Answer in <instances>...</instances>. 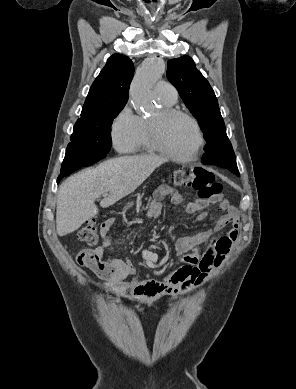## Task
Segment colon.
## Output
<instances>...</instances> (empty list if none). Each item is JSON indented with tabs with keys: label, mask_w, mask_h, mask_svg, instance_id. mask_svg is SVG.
Masks as SVG:
<instances>
[{
	"label": "colon",
	"mask_w": 296,
	"mask_h": 389,
	"mask_svg": "<svg viewBox=\"0 0 296 389\" xmlns=\"http://www.w3.org/2000/svg\"><path fill=\"white\" fill-rule=\"evenodd\" d=\"M173 183L180 187H190L200 199L215 202L220 200L222 185L215 180L214 174L201 167L185 166L173 174ZM78 239L88 245L98 242V227L94 219L86 221L78 230Z\"/></svg>",
	"instance_id": "obj_1"
}]
</instances>
